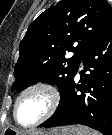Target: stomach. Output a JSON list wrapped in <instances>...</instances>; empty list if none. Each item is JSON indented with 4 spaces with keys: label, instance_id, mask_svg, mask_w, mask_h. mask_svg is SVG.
<instances>
[{
    "label": "stomach",
    "instance_id": "stomach-1",
    "mask_svg": "<svg viewBox=\"0 0 112 135\" xmlns=\"http://www.w3.org/2000/svg\"><path fill=\"white\" fill-rule=\"evenodd\" d=\"M84 129L81 127L75 126H68V127H61L58 129H54L50 132H42V131H32L27 134H22L16 130L7 129L4 131V134L10 135H83Z\"/></svg>",
    "mask_w": 112,
    "mask_h": 135
}]
</instances>
